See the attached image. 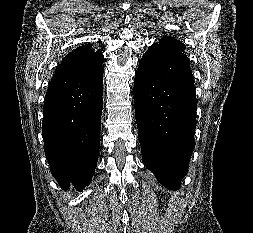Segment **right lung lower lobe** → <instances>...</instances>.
Returning <instances> with one entry per match:
<instances>
[{"mask_svg":"<svg viewBox=\"0 0 253 233\" xmlns=\"http://www.w3.org/2000/svg\"><path fill=\"white\" fill-rule=\"evenodd\" d=\"M103 66L55 73L44 107L42 133L51 173L63 189L81 191L98 161L103 107Z\"/></svg>","mask_w":253,"mask_h":233,"instance_id":"right-lung-lower-lobe-1","label":"right lung lower lobe"}]
</instances>
